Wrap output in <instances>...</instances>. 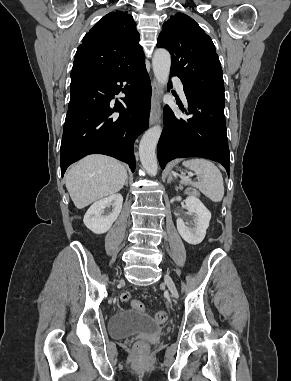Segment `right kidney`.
Here are the masks:
<instances>
[{
  "label": "right kidney",
  "mask_w": 291,
  "mask_h": 381,
  "mask_svg": "<svg viewBox=\"0 0 291 381\" xmlns=\"http://www.w3.org/2000/svg\"><path fill=\"white\" fill-rule=\"evenodd\" d=\"M123 204L121 194H113L100 199L87 210L83 222L85 226L95 234L106 233L119 216ZM112 206V212L103 215L106 208Z\"/></svg>",
  "instance_id": "ca27d5eb"
}]
</instances>
